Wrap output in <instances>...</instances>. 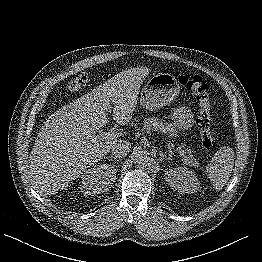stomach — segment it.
Returning <instances> with one entry per match:
<instances>
[{
    "instance_id": "1",
    "label": "stomach",
    "mask_w": 262,
    "mask_h": 262,
    "mask_svg": "<svg viewBox=\"0 0 262 262\" xmlns=\"http://www.w3.org/2000/svg\"><path fill=\"white\" fill-rule=\"evenodd\" d=\"M180 91L177 79L169 73L153 75L142 88L140 105L147 110H157L174 101ZM173 125L178 129L190 128L193 115L186 107H178L171 115Z\"/></svg>"
}]
</instances>
